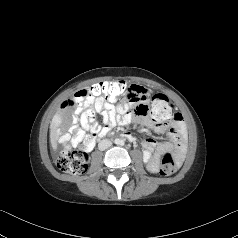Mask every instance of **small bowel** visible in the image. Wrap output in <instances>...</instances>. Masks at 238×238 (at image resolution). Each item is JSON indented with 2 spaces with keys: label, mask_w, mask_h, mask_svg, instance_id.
Returning <instances> with one entry per match:
<instances>
[{
  "label": "small bowel",
  "mask_w": 238,
  "mask_h": 238,
  "mask_svg": "<svg viewBox=\"0 0 238 238\" xmlns=\"http://www.w3.org/2000/svg\"><path fill=\"white\" fill-rule=\"evenodd\" d=\"M150 98V93L146 88L133 85L130 87L124 101L119 104L100 101L93 104L89 102L74 104L71 100H67L62 104V111L55 116L53 126L57 128L62 122L64 111L74 107L72 124L69 127V132L56 130L55 138L61 144L71 142L73 145H77L83 133L82 129L77 126L78 122L83 129L91 131L93 137L106 135L116 125L126 126L131 123L142 125L157 133L166 134L170 139L169 142L158 143L154 139L147 138L142 142L144 161L150 171L157 172L160 157L165 153L173 152L176 158L181 160L186 146V129L181 115L178 113L170 122H157L150 118L152 114L148 106ZM89 108L93 109L94 114L95 112L101 114L103 125L98 124L94 115L88 113ZM123 135L127 139L133 137L129 132H125ZM93 147L94 139L86 146V150H91Z\"/></svg>",
  "instance_id": "1"
}]
</instances>
